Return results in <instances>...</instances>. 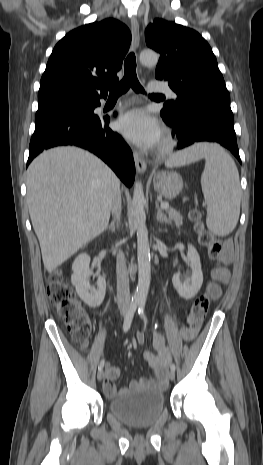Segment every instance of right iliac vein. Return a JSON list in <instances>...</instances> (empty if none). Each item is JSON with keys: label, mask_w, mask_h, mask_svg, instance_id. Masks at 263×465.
<instances>
[{"label": "right iliac vein", "mask_w": 263, "mask_h": 465, "mask_svg": "<svg viewBox=\"0 0 263 465\" xmlns=\"http://www.w3.org/2000/svg\"><path fill=\"white\" fill-rule=\"evenodd\" d=\"M126 314H127V311H126V310H123V311H122V316H126ZM103 378H104V371H103V369H100V370L98 371V373H97V379H98L99 381H101Z\"/></svg>", "instance_id": "obj_1"}]
</instances>
